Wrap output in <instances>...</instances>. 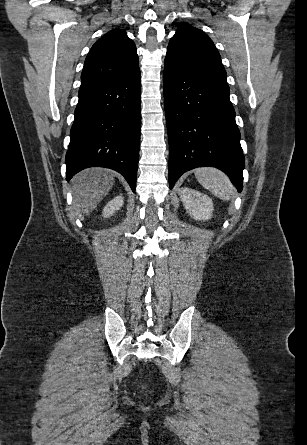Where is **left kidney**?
<instances>
[{"label": "left kidney", "mask_w": 307, "mask_h": 445, "mask_svg": "<svg viewBox=\"0 0 307 445\" xmlns=\"http://www.w3.org/2000/svg\"><path fill=\"white\" fill-rule=\"evenodd\" d=\"M179 196L190 216L196 220H208L211 218L214 208L213 200L207 194L182 186L179 188Z\"/></svg>", "instance_id": "5707ae66"}]
</instances>
